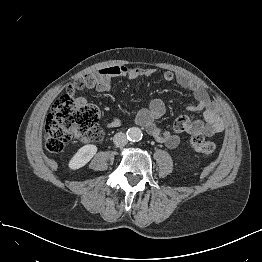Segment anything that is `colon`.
Returning a JSON list of instances; mask_svg holds the SVG:
<instances>
[{
    "label": "colon",
    "mask_w": 262,
    "mask_h": 262,
    "mask_svg": "<svg viewBox=\"0 0 262 262\" xmlns=\"http://www.w3.org/2000/svg\"><path fill=\"white\" fill-rule=\"evenodd\" d=\"M88 76L78 78L66 88L49 112L44 124V144L52 153L61 152L71 140L86 142L97 140L101 136L96 127L99 119L98 108L76 96L84 86ZM191 147L204 156H211L216 151L213 141L202 133H195L190 138Z\"/></svg>",
    "instance_id": "1"
}]
</instances>
